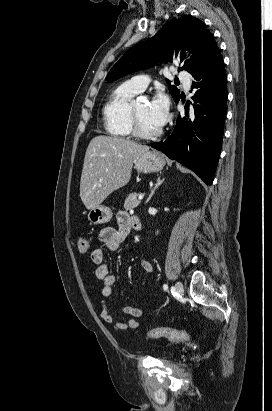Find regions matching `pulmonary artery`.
<instances>
[{
	"label": "pulmonary artery",
	"instance_id": "1",
	"mask_svg": "<svg viewBox=\"0 0 272 411\" xmlns=\"http://www.w3.org/2000/svg\"><path fill=\"white\" fill-rule=\"evenodd\" d=\"M178 77L187 84V87L189 86L190 75L188 71L180 70L178 72ZM149 82V78L143 75L134 76L129 80V84L138 92L145 90L149 85Z\"/></svg>",
	"mask_w": 272,
	"mask_h": 411
}]
</instances>
